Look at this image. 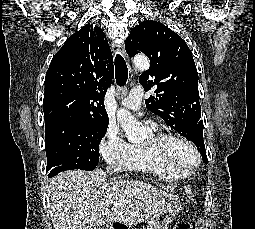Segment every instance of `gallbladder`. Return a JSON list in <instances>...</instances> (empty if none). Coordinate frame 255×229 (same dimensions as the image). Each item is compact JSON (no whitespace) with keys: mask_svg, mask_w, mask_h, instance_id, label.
Instances as JSON below:
<instances>
[{"mask_svg":"<svg viewBox=\"0 0 255 229\" xmlns=\"http://www.w3.org/2000/svg\"><path fill=\"white\" fill-rule=\"evenodd\" d=\"M88 229H97L96 227H89Z\"/></svg>","mask_w":255,"mask_h":229,"instance_id":"1","label":"gallbladder"}]
</instances>
